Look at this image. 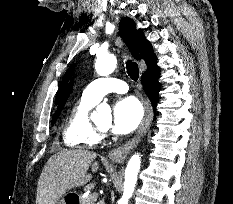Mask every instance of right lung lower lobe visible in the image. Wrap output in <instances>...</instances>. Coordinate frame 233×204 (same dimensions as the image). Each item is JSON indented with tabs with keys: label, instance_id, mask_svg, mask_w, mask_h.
<instances>
[{
	"label": "right lung lower lobe",
	"instance_id": "1",
	"mask_svg": "<svg viewBox=\"0 0 233 204\" xmlns=\"http://www.w3.org/2000/svg\"><path fill=\"white\" fill-rule=\"evenodd\" d=\"M159 74H160L159 68L155 66L147 70L141 77L144 90L147 93L152 103V107L154 110V117L156 115V105L158 103V92L160 90V84L158 82Z\"/></svg>",
	"mask_w": 233,
	"mask_h": 204
}]
</instances>
